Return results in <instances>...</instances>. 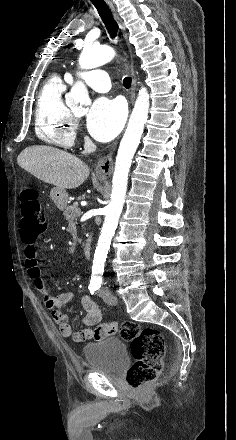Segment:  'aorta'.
Here are the masks:
<instances>
[{"mask_svg": "<svg viewBox=\"0 0 236 440\" xmlns=\"http://www.w3.org/2000/svg\"><path fill=\"white\" fill-rule=\"evenodd\" d=\"M115 56L116 52L110 46H85L79 57V65L82 69H92L110 62ZM89 102L90 98L86 86L81 81L76 82L66 97L67 106L71 108L83 107L87 106ZM149 105L148 91L142 87L118 149L112 179L111 201L105 210V219L93 259L91 277L93 281L101 280L104 271L111 240L125 202L132 159L148 119Z\"/></svg>", "mask_w": 236, "mask_h": 440, "instance_id": "1", "label": "aorta"}]
</instances>
